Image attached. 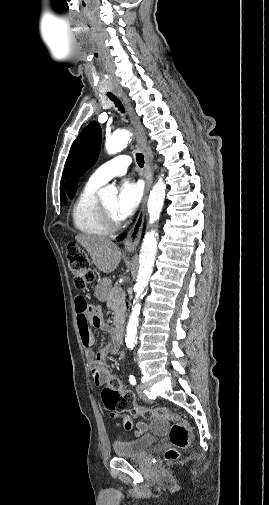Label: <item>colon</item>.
<instances>
[{
  "label": "colon",
  "mask_w": 269,
  "mask_h": 505,
  "mask_svg": "<svg viewBox=\"0 0 269 505\" xmlns=\"http://www.w3.org/2000/svg\"><path fill=\"white\" fill-rule=\"evenodd\" d=\"M68 266L74 275V284L77 289L83 290L94 280V273L90 267V261L87 254L77 245H71L67 248ZM101 401L105 410L112 416L126 415L125 428L131 429L132 420L129 416H143L145 418H164L170 415L168 409L163 406L155 408L138 406L135 403V396L130 391H124L121 388L120 380L110 375L101 392ZM176 420L169 430V439L172 447L166 451L167 459H176L179 450L185 449L190 444V428L187 421L175 416Z\"/></svg>",
  "instance_id": "obj_1"
}]
</instances>
